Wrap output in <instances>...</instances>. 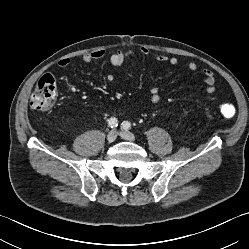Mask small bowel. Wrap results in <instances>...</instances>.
Masks as SVG:
<instances>
[{"mask_svg": "<svg viewBox=\"0 0 249 249\" xmlns=\"http://www.w3.org/2000/svg\"><path fill=\"white\" fill-rule=\"evenodd\" d=\"M140 54L142 56H148L149 50L142 48L140 50ZM105 55H106V52L104 50H96V51H93L91 53H87V54L83 55L82 60L85 63H90L92 61L104 58ZM131 56H132L131 51H125V50H121V49L114 51L109 56V63H110L111 68L113 70H117ZM155 59L159 63H161L162 65L176 66L179 64V59L175 56H167L165 54H158L155 56ZM71 63H72V59L63 58V59H60L58 61V66L67 67ZM186 68L190 72L195 73L198 70V65L193 61H188L186 63ZM202 75H203V79H204L205 86H206L205 87L206 92L209 94L214 93L216 90V86H215L216 80H215L214 73L212 72V70H210L208 68H204L202 70ZM107 79H108V81H113L114 75L112 73L108 74ZM160 100H161V94H160L159 88L157 86H152L150 88V103L152 105H157L160 102Z\"/></svg>", "mask_w": 249, "mask_h": 249, "instance_id": "c3829d8e", "label": "small bowel"}]
</instances>
